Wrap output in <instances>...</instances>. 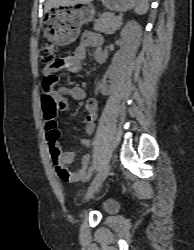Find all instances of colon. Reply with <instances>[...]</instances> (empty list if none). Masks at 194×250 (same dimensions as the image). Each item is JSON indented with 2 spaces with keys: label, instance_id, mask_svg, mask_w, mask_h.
Returning <instances> with one entry per match:
<instances>
[{
  "label": "colon",
  "instance_id": "obj_1",
  "mask_svg": "<svg viewBox=\"0 0 194 250\" xmlns=\"http://www.w3.org/2000/svg\"><path fill=\"white\" fill-rule=\"evenodd\" d=\"M39 56L42 61V63L47 64L52 67H58L59 65V60L56 58V46L52 43H46L44 44L39 51ZM45 82L47 84H54L56 82V76H50L45 79ZM42 109H43V114L44 115H54L58 109V105L54 99V97L46 92L42 96ZM56 169L58 175L63 179V180H69L70 179V171L60 165L56 164Z\"/></svg>",
  "mask_w": 194,
  "mask_h": 250
}]
</instances>
